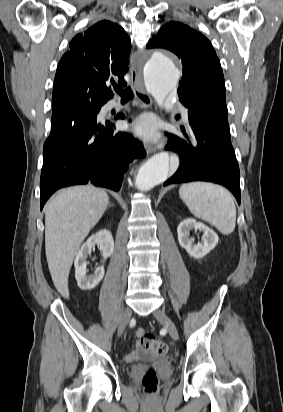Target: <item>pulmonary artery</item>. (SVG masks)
Listing matches in <instances>:
<instances>
[{"instance_id": "obj_1", "label": "pulmonary artery", "mask_w": 283, "mask_h": 412, "mask_svg": "<svg viewBox=\"0 0 283 412\" xmlns=\"http://www.w3.org/2000/svg\"><path fill=\"white\" fill-rule=\"evenodd\" d=\"M183 118H184V120H187V112L186 111H183Z\"/></svg>"}]
</instances>
